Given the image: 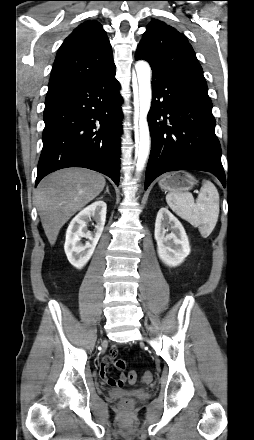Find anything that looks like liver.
Returning <instances> with one entry per match:
<instances>
[{"label":"liver","instance_id":"6515ba94","mask_svg":"<svg viewBox=\"0 0 254 440\" xmlns=\"http://www.w3.org/2000/svg\"><path fill=\"white\" fill-rule=\"evenodd\" d=\"M100 173L66 168L46 176L35 191V201L48 241L54 245L62 226L104 189Z\"/></svg>","mask_w":254,"mask_h":440}]
</instances>
